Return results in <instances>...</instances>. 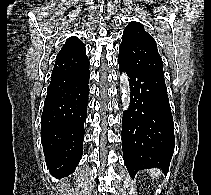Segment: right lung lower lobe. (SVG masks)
<instances>
[{"label": "right lung lower lobe", "mask_w": 211, "mask_h": 195, "mask_svg": "<svg viewBox=\"0 0 211 195\" xmlns=\"http://www.w3.org/2000/svg\"><path fill=\"white\" fill-rule=\"evenodd\" d=\"M89 63L53 77L41 118V142L50 173L60 179L72 174L83 153L84 122L89 94Z\"/></svg>", "instance_id": "98d812e1"}]
</instances>
